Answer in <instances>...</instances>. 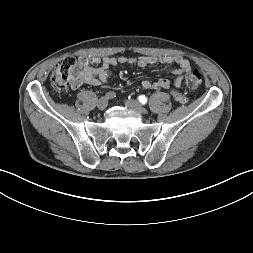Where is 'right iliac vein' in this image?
Here are the masks:
<instances>
[{"label":"right iliac vein","mask_w":253,"mask_h":253,"mask_svg":"<svg viewBox=\"0 0 253 253\" xmlns=\"http://www.w3.org/2000/svg\"><path fill=\"white\" fill-rule=\"evenodd\" d=\"M108 105V100L106 97H101L97 102V107L100 111H103L106 109Z\"/></svg>","instance_id":"right-iliac-vein-1"}]
</instances>
